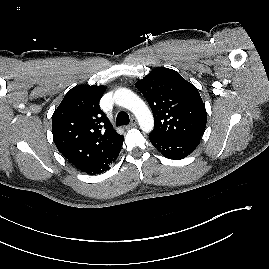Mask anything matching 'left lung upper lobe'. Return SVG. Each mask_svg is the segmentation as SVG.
<instances>
[{
    "label": "left lung upper lobe",
    "mask_w": 269,
    "mask_h": 269,
    "mask_svg": "<svg viewBox=\"0 0 269 269\" xmlns=\"http://www.w3.org/2000/svg\"><path fill=\"white\" fill-rule=\"evenodd\" d=\"M154 116L151 136L172 140H200L207 113L197 88L178 72L156 68L135 84Z\"/></svg>",
    "instance_id": "5c2ea615"
}]
</instances>
